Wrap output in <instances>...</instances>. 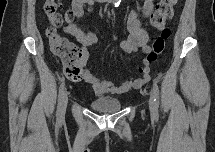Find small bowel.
<instances>
[{
	"mask_svg": "<svg viewBox=\"0 0 215 152\" xmlns=\"http://www.w3.org/2000/svg\"><path fill=\"white\" fill-rule=\"evenodd\" d=\"M154 5V0L143 1L142 12L146 17H150L152 15ZM91 9V0L72 1L71 11L77 19L82 18L85 12H89ZM64 30L80 43L81 50L83 52V76L81 79L92 85V88L97 96L122 95L130 89H139L143 87L149 81L150 76L148 72L144 73L141 78H128L119 83H114L106 76H101L98 78L94 77L85 66L89 56L88 49L97 45L99 42L97 35L93 32H86L77 22H72L65 25ZM127 30L128 35L120 43V48L123 53L131 54L139 50L144 53H148L150 51V36L142 28L138 19V14L135 10L130 11L128 14Z\"/></svg>",
	"mask_w": 215,
	"mask_h": 152,
	"instance_id": "obj_1",
	"label": "small bowel"
}]
</instances>
